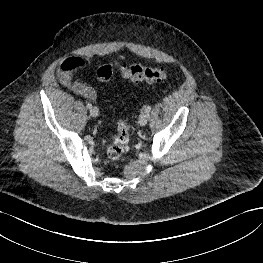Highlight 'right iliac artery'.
Returning <instances> with one entry per match:
<instances>
[{
    "instance_id": "82829eb1",
    "label": "right iliac artery",
    "mask_w": 263,
    "mask_h": 263,
    "mask_svg": "<svg viewBox=\"0 0 263 263\" xmlns=\"http://www.w3.org/2000/svg\"><path fill=\"white\" fill-rule=\"evenodd\" d=\"M87 108L91 109L92 108V104L91 103H87Z\"/></svg>"
}]
</instances>
